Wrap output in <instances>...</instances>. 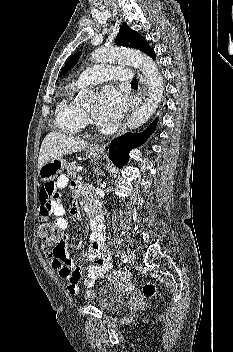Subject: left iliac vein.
<instances>
[{
	"mask_svg": "<svg viewBox=\"0 0 233 352\" xmlns=\"http://www.w3.org/2000/svg\"><path fill=\"white\" fill-rule=\"evenodd\" d=\"M135 261H136L135 255L133 253H129L128 254V262L135 263Z\"/></svg>",
	"mask_w": 233,
	"mask_h": 352,
	"instance_id": "left-iliac-vein-1",
	"label": "left iliac vein"
}]
</instances>
